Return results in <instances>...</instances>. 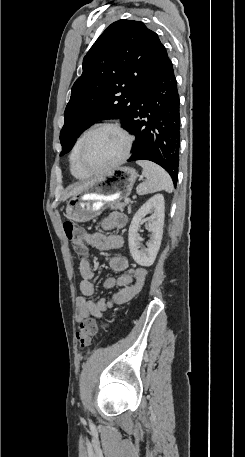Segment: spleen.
Here are the masks:
<instances>
[{
    "instance_id": "3e777b00",
    "label": "spleen",
    "mask_w": 245,
    "mask_h": 457,
    "mask_svg": "<svg viewBox=\"0 0 245 457\" xmlns=\"http://www.w3.org/2000/svg\"><path fill=\"white\" fill-rule=\"evenodd\" d=\"M136 162L142 166V174L146 176V180L138 184L136 188L137 194H149V192H157V190L172 192V178L162 166H158L151 160H136Z\"/></svg>"
}]
</instances>
